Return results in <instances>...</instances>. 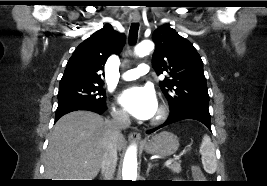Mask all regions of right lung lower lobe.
Returning a JSON list of instances; mask_svg holds the SVG:
<instances>
[{
  "mask_svg": "<svg viewBox=\"0 0 267 186\" xmlns=\"http://www.w3.org/2000/svg\"><path fill=\"white\" fill-rule=\"evenodd\" d=\"M107 109L105 104H99L88 101H67L58 104L55 113V122L60 119L63 115L77 110H88L98 114L103 113Z\"/></svg>",
  "mask_w": 267,
  "mask_h": 186,
  "instance_id": "right-lung-lower-lobe-1",
  "label": "right lung lower lobe"
}]
</instances>
